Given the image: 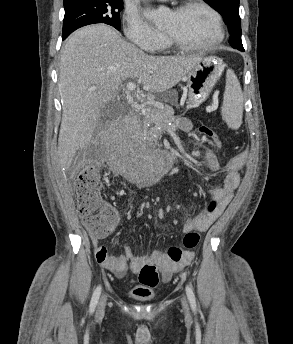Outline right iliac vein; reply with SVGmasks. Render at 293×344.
I'll list each match as a JSON object with an SVG mask.
<instances>
[{"mask_svg": "<svg viewBox=\"0 0 293 344\" xmlns=\"http://www.w3.org/2000/svg\"><path fill=\"white\" fill-rule=\"evenodd\" d=\"M106 300H107L106 296L103 295V296L101 297V299H100V302H99L98 308H97V315H98V316L103 315L104 309H105V305H106Z\"/></svg>", "mask_w": 293, "mask_h": 344, "instance_id": "1", "label": "right iliac vein"}]
</instances>
